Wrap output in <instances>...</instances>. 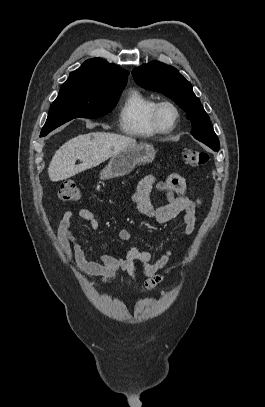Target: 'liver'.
Instances as JSON below:
<instances>
[{
	"label": "liver",
	"mask_w": 265,
	"mask_h": 407,
	"mask_svg": "<svg viewBox=\"0 0 265 407\" xmlns=\"http://www.w3.org/2000/svg\"><path fill=\"white\" fill-rule=\"evenodd\" d=\"M131 137L105 132H94L74 137L54 154L48 175L52 182L62 181L84 170L96 167L124 148L136 144ZM82 161L76 165V160Z\"/></svg>",
	"instance_id": "1"
}]
</instances>
